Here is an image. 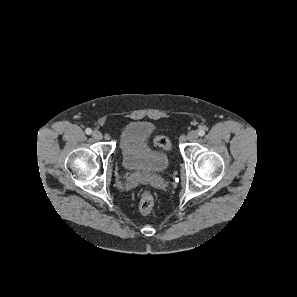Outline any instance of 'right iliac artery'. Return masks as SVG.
<instances>
[{"label":"right iliac artery","mask_w":297,"mask_h":297,"mask_svg":"<svg viewBox=\"0 0 297 297\" xmlns=\"http://www.w3.org/2000/svg\"><path fill=\"white\" fill-rule=\"evenodd\" d=\"M85 132L86 134L90 135L92 133V130L90 128H86Z\"/></svg>","instance_id":"82829eb1"}]
</instances>
